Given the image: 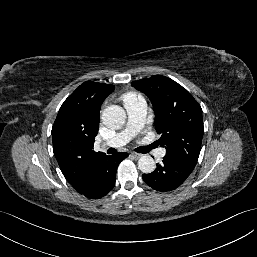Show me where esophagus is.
Instances as JSON below:
<instances>
[{
    "label": "esophagus",
    "mask_w": 257,
    "mask_h": 257,
    "mask_svg": "<svg viewBox=\"0 0 257 257\" xmlns=\"http://www.w3.org/2000/svg\"><path fill=\"white\" fill-rule=\"evenodd\" d=\"M130 154H131V156H133L136 159H138L142 156V154H139V153H136V152H131Z\"/></svg>",
    "instance_id": "1"
}]
</instances>
